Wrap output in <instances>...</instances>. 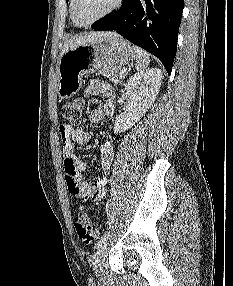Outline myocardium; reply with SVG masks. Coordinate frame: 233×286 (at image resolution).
Returning a JSON list of instances; mask_svg holds the SVG:
<instances>
[{
    "label": "myocardium",
    "instance_id": "1",
    "mask_svg": "<svg viewBox=\"0 0 233 286\" xmlns=\"http://www.w3.org/2000/svg\"><path fill=\"white\" fill-rule=\"evenodd\" d=\"M122 2H123V0H115L113 5L107 11H105L104 13H102L101 15H99L98 17L93 19L92 21L82 23V22H79L77 20L76 14H75L77 0H71V10H70L71 19L76 26L88 27V26H91V25L95 24L96 22L102 20L103 18L109 16L114 11H116L122 5Z\"/></svg>",
    "mask_w": 233,
    "mask_h": 286
}]
</instances>
